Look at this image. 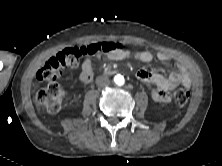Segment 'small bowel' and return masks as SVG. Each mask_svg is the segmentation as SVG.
Returning a JSON list of instances; mask_svg holds the SVG:
<instances>
[{
    "label": "small bowel",
    "instance_id": "1",
    "mask_svg": "<svg viewBox=\"0 0 222 166\" xmlns=\"http://www.w3.org/2000/svg\"><path fill=\"white\" fill-rule=\"evenodd\" d=\"M110 60H123L129 57L142 62H151L155 55L150 51H131L123 48L116 49L105 55ZM156 58L161 62L170 60L166 53L158 52ZM138 80L145 83H151L155 86L152 91V98L157 102L168 103L171 101V92L178 86L189 88L192 84L191 77L188 71L183 66H178L169 76H163L148 70H139L136 74ZM93 78V65L91 59L87 58L83 61L79 72V80L82 83H89Z\"/></svg>",
    "mask_w": 222,
    "mask_h": 166
}]
</instances>
